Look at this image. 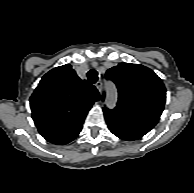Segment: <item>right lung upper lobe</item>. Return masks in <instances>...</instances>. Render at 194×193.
<instances>
[{"instance_id": "obj_1", "label": "right lung upper lobe", "mask_w": 194, "mask_h": 193, "mask_svg": "<svg viewBox=\"0 0 194 193\" xmlns=\"http://www.w3.org/2000/svg\"><path fill=\"white\" fill-rule=\"evenodd\" d=\"M100 99L97 89L81 80L69 64L46 73L30 97L32 118L48 141L74 133Z\"/></svg>"}]
</instances>
